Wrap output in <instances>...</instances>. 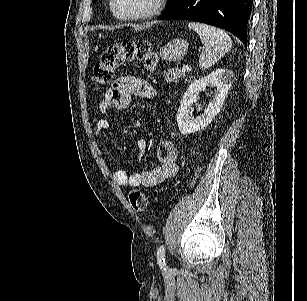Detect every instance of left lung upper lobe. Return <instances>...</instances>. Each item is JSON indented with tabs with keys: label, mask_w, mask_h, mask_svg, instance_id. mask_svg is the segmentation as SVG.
Masks as SVG:
<instances>
[{
	"label": "left lung upper lobe",
	"mask_w": 307,
	"mask_h": 301,
	"mask_svg": "<svg viewBox=\"0 0 307 301\" xmlns=\"http://www.w3.org/2000/svg\"><path fill=\"white\" fill-rule=\"evenodd\" d=\"M97 0H93V3H95ZM180 0H168V5L166 7V9L164 10V12L171 8L172 6H174L175 4H177Z\"/></svg>",
	"instance_id": "obj_1"
}]
</instances>
